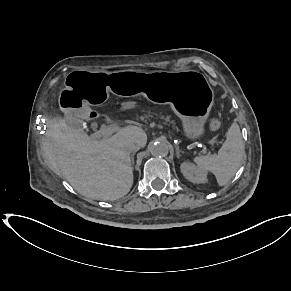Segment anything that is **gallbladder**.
Instances as JSON below:
<instances>
[{
    "label": "gallbladder",
    "mask_w": 291,
    "mask_h": 291,
    "mask_svg": "<svg viewBox=\"0 0 291 291\" xmlns=\"http://www.w3.org/2000/svg\"><path fill=\"white\" fill-rule=\"evenodd\" d=\"M66 122L68 125H70L72 127H76V128L80 127L79 122H77V120L72 118V117H67Z\"/></svg>",
    "instance_id": "gallbladder-1"
}]
</instances>
